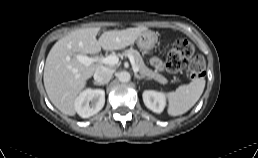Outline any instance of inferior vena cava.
Instances as JSON below:
<instances>
[{
    "label": "inferior vena cava",
    "mask_w": 258,
    "mask_h": 158,
    "mask_svg": "<svg viewBox=\"0 0 258 158\" xmlns=\"http://www.w3.org/2000/svg\"><path fill=\"white\" fill-rule=\"evenodd\" d=\"M112 70L108 67L101 66L94 73V80L100 84H106L112 77Z\"/></svg>",
    "instance_id": "inferior-vena-cava-1"
}]
</instances>
